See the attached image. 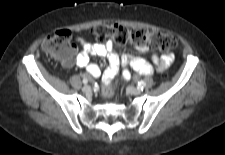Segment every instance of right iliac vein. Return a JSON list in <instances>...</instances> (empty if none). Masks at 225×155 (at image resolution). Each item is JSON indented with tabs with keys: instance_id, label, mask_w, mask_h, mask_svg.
<instances>
[{
	"instance_id": "63e3f726",
	"label": "right iliac vein",
	"mask_w": 225,
	"mask_h": 155,
	"mask_svg": "<svg viewBox=\"0 0 225 155\" xmlns=\"http://www.w3.org/2000/svg\"><path fill=\"white\" fill-rule=\"evenodd\" d=\"M82 91H83L84 93H88V92L91 91V87L88 86V85H85V86L82 88Z\"/></svg>"
}]
</instances>
